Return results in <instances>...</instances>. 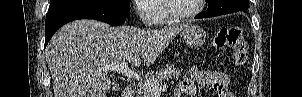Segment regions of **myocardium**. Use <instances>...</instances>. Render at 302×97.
I'll return each mask as SVG.
<instances>
[{
    "label": "myocardium",
    "mask_w": 302,
    "mask_h": 97,
    "mask_svg": "<svg viewBox=\"0 0 302 97\" xmlns=\"http://www.w3.org/2000/svg\"><path fill=\"white\" fill-rule=\"evenodd\" d=\"M205 2L206 0H198L197 7L193 11L184 14H178L173 10L171 6V0H165L164 5H165L166 13L170 18V20L174 22H179V21L188 20L200 14L204 9Z\"/></svg>",
    "instance_id": "f54148a6"
}]
</instances>
